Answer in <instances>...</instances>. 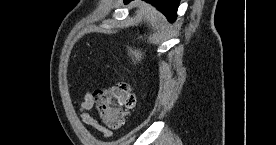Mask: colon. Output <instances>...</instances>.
Here are the masks:
<instances>
[{
	"label": "colon",
	"instance_id": "obj_1",
	"mask_svg": "<svg viewBox=\"0 0 276 145\" xmlns=\"http://www.w3.org/2000/svg\"><path fill=\"white\" fill-rule=\"evenodd\" d=\"M95 111L109 128H121L136 105V96L127 83L101 87L92 93Z\"/></svg>",
	"mask_w": 276,
	"mask_h": 145
}]
</instances>
